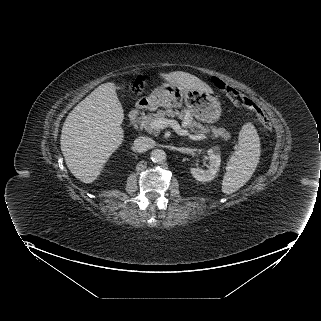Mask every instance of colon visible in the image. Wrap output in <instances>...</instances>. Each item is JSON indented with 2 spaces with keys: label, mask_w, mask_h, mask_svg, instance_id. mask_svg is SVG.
Masks as SVG:
<instances>
[{
  "label": "colon",
  "mask_w": 321,
  "mask_h": 321,
  "mask_svg": "<svg viewBox=\"0 0 321 321\" xmlns=\"http://www.w3.org/2000/svg\"><path fill=\"white\" fill-rule=\"evenodd\" d=\"M213 83L215 87L219 91L223 92L235 106L247 108L253 111L256 114L261 125L264 127V129L267 131H271L272 124L268 115L262 108L256 105L250 98L246 97L245 95L240 93L238 90L229 86L219 78H213ZM141 88H142L141 82H138L135 86V89L139 91L141 90Z\"/></svg>",
  "instance_id": "5ec220e1"
}]
</instances>
